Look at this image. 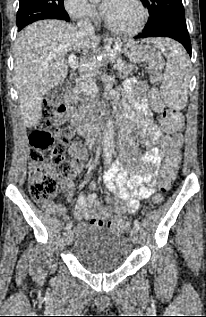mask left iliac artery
I'll list each match as a JSON object with an SVG mask.
<instances>
[{"instance_id":"left-iliac-artery-1","label":"left iliac artery","mask_w":206,"mask_h":317,"mask_svg":"<svg viewBox=\"0 0 206 317\" xmlns=\"http://www.w3.org/2000/svg\"><path fill=\"white\" fill-rule=\"evenodd\" d=\"M134 228H135L136 230H139V229H140V223H139L138 220H135V221H134Z\"/></svg>"}]
</instances>
